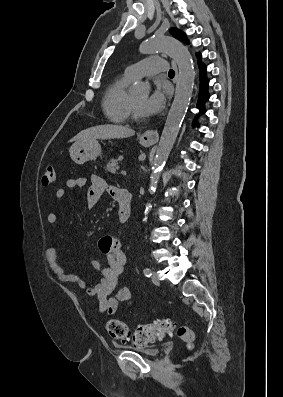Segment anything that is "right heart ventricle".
<instances>
[{
	"instance_id": "e07e8e85",
	"label": "right heart ventricle",
	"mask_w": 283,
	"mask_h": 397,
	"mask_svg": "<svg viewBox=\"0 0 283 397\" xmlns=\"http://www.w3.org/2000/svg\"><path fill=\"white\" fill-rule=\"evenodd\" d=\"M132 79L126 74L115 78L106 88L102 107L106 118L114 123H125L129 118L128 86Z\"/></svg>"
}]
</instances>
